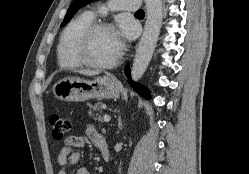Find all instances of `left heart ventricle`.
<instances>
[{"mask_svg":"<svg viewBox=\"0 0 249 174\" xmlns=\"http://www.w3.org/2000/svg\"><path fill=\"white\" fill-rule=\"evenodd\" d=\"M119 45V37L115 31H99L95 33L88 45L87 56L96 63L110 61Z\"/></svg>","mask_w":249,"mask_h":174,"instance_id":"left-heart-ventricle-1","label":"left heart ventricle"}]
</instances>
